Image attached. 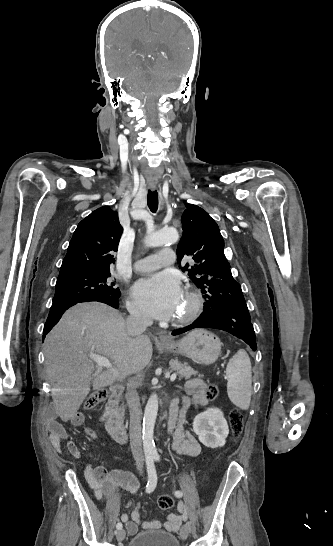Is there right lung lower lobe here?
I'll use <instances>...</instances> for the list:
<instances>
[{
	"instance_id": "obj_1",
	"label": "right lung lower lobe",
	"mask_w": 333,
	"mask_h": 546,
	"mask_svg": "<svg viewBox=\"0 0 333 546\" xmlns=\"http://www.w3.org/2000/svg\"><path fill=\"white\" fill-rule=\"evenodd\" d=\"M90 301H98L102 303H106L113 308L118 309L119 308V298L118 297H112V296H92V297H84L79 299H71L66 301H56L53 302L50 312L47 318V321L44 326L43 330V339L45 338V335L49 333V331L57 324L59 319L61 318L62 314L71 306L81 303V302H90Z\"/></svg>"
}]
</instances>
